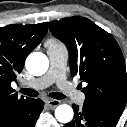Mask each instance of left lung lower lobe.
Segmentation results:
<instances>
[{
	"instance_id": "left-lung-lower-lobe-1",
	"label": "left lung lower lobe",
	"mask_w": 127,
	"mask_h": 127,
	"mask_svg": "<svg viewBox=\"0 0 127 127\" xmlns=\"http://www.w3.org/2000/svg\"><path fill=\"white\" fill-rule=\"evenodd\" d=\"M73 109L74 119L64 127H115L121 116L85 103L82 108L73 104Z\"/></svg>"
}]
</instances>
